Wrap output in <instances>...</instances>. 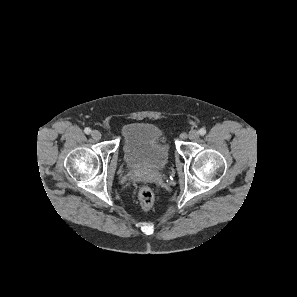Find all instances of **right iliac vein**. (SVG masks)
I'll return each mask as SVG.
<instances>
[{"label":"right iliac vein","mask_w":297,"mask_h":297,"mask_svg":"<svg viewBox=\"0 0 297 297\" xmlns=\"http://www.w3.org/2000/svg\"><path fill=\"white\" fill-rule=\"evenodd\" d=\"M91 136H92V138L93 139H95V140H99L100 138H101V132L100 131H98V130H93L92 132H91Z\"/></svg>","instance_id":"right-iliac-vein-1"}]
</instances>
